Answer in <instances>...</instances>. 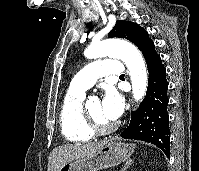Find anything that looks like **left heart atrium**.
Returning a JSON list of instances; mask_svg holds the SVG:
<instances>
[{
	"label": "left heart atrium",
	"instance_id": "obj_1",
	"mask_svg": "<svg viewBox=\"0 0 199 171\" xmlns=\"http://www.w3.org/2000/svg\"><path fill=\"white\" fill-rule=\"evenodd\" d=\"M100 104L102 116L110 122L116 121L123 112V98L115 89H107Z\"/></svg>",
	"mask_w": 199,
	"mask_h": 171
}]
</instances>
